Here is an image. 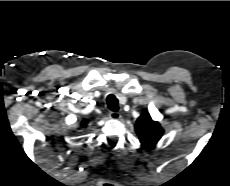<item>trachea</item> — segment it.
<instances>
[{
	"label": "trachea",
	"mask_w": 230,
	"mask_h": 186,
	"mask_svg": "<svg viewBox=\"0 0 230 186\" xmlns=\"http://www.w3.org/2000/svg\"><path fill=\"white\" fill-rule=\"evenodd\" d=\"M106 101H107V107L111 111H114V112L118 111V108H119L118 107V99L113 94L108 95L106 98Z\"/></svg>",
	"instance_id": "obj_1"
}]
</instances>
